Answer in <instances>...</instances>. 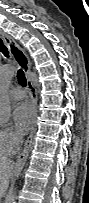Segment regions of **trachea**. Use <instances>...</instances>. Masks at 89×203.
Wrapping results in <instances>:
<instances>
[{
	"instance_id": "1",
	"label": "trachea",
	"mask_w": 89,
	"mask_h": 203,
	"mask_svg": "<svg viewBox=\"0 0 89 203\" xmlns=\"http://www.w3.org/2000/svg\"><path fill=\"white\" fill-rule=\"evenodd\" d=\"M0 51L4 54L5 57L9 58L8 49L1 39H0ZM17 79L19 81V84L22 85L23 87L27 85L26 77L22 69H19L17 71Z\"/></svg>"
}]
</instances>
